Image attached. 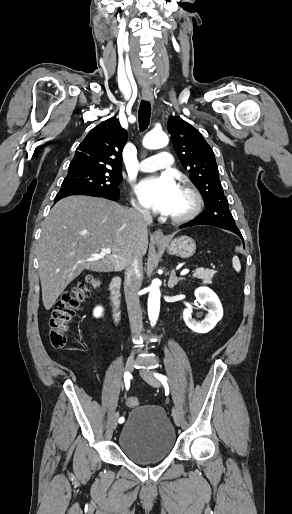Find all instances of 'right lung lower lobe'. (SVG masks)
Here are the masks:
<instances>
[{
    "label": "right lung lower lobe",
    "instance_id": "right-lung-lower-lobe-1",
    "mask_svg": "<svg viewBox=\"0 0 292 514\" xmlns=\"http://www.w3.org/2000/svg\"><path fill=\"white\" fill-rule=\"evenodd\" d=\"M72 195H88V196H95V197H103L109 200H118L119 199V193L117 194H105V193H95V192H66L62 194H57L54 202H58L59 200L72 196Z\"/></svg>",
    "mask_w": 292,
    "mask_h": 514
}]
</instances>
